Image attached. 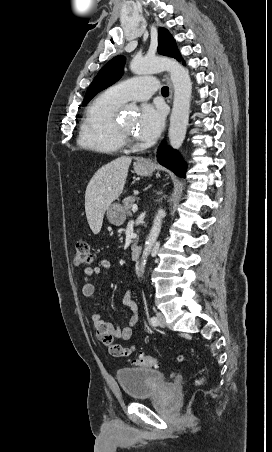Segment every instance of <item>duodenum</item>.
Wrapping results in <instances>:
<instances>
[{
	"label": "duodenum",
	"mask_w": 272,
	"mask_h": 452,
	"mask_svg": "<svg viewBox=\"0 0 272 452\" xmlns=\"http://www.w3.org/2000/svg\"><path fill=\"white\" fill-rule=\"evenodd\" d=\"M142 247L139 244H135L131 249V258L138 260L141 255Z\"/></svg>",
	"instance_id": "duodenum-1"
}]
</instances>
